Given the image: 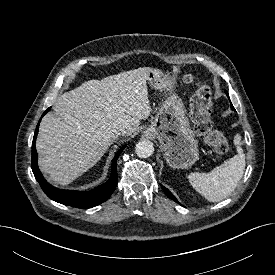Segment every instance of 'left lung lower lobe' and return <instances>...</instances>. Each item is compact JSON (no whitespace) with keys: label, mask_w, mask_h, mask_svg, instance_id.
I'll return each instance as SVG.
<instances>
[{"label":"left lung lower lobe","mask_w":275,"mask_h":275,"mask_svg":"<svg viewBox=\"0 0 275 275\" xmlns=\"http://www.w3.org/2000/svg\"><path fill=\"white\" fill-rule=\"evenodd\" d=\"M227 96L229 97L228 93L226 92ZM231 109L232 110H235L233 105L231 104ZM161 188L163 189L164 193L167 195L168 198L174 200L177 202L176 198L173 196V194L167 189L165 188L164 186L161 185Z\"/></svg>","instance_id":"1"}]
</instances>
